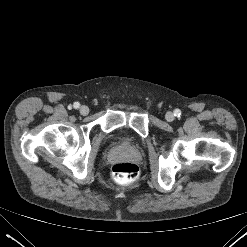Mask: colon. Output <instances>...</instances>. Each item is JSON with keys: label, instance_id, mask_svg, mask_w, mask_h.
I'll use <instances>...</instances> for the list:
<instances>
[{"label": "colon", "instance_id": "5ec220e1", "mask_svg": "<svg viewBox=\"0 0 247 247\" xmlns=\"http://www.w3.org/2000/svg\"><path fill=\"white\" fill-rule=\"evenodd\" d=\"M112 176L119 184H130L138 178L139 168L131 162H120L113 166Z\"/></svg>", "mask_w": 247, "mask_h": 247}]
</instances>
